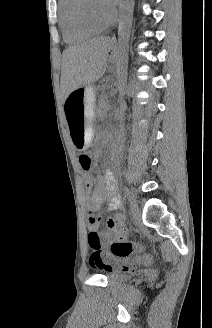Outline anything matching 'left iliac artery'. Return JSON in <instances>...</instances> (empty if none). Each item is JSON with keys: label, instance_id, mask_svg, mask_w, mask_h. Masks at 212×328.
<instances>
[{"label": "left iliac artery", "instance_id": "1", "mask_svg": "<svg viewBox=\"0 0 212 328\" xmlns=\"http://www.w3.org/2000/svg\"><path fill=\"white\" fill-rule=\"evenodd\" d=\"M124 193H125V196L130 199V192H129V189L127 187H124Z\"/></svg>", "mask_w": 212, "mask_h": 328}]
</instances>
